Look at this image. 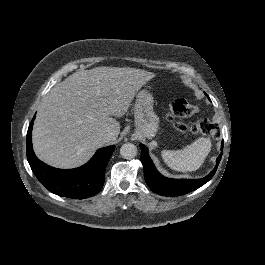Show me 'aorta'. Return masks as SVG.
<instances>
[{
  "label": "aorta",
  "instance_id": "762f6f07",
  "mask_svg": "<svg viewBox=\"0 0 265 265\" xmlns=\"http://www.w3.org/2000/svg\"><path fill=\"white\" fill-rule=\"evenodd\" d=\"M120 155L124 159H132L137 155V147L132 143H125L120 148Z\"/></svg>",
  "mask_w": 265,
  "mask_h": 265
}]
</instances>
